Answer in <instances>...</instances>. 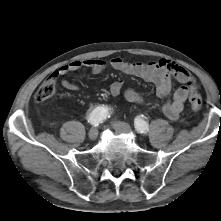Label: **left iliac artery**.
<instances>
[{"instance_id":"obj_1","label":"left iliac artery","mask_w":221,"mask_h":221,"mask_svg":"<svg viewBox=\"0 0 221 221\" xmlns=\"http://www.w3.org/2000/svg\"><path fill=\"white\" fill-rule=\"evenodd\" d=\"M134 126L138 133L146 134L149 130L148 123L144 121L141 117L135 118Z\"/></svg>"}]
</instances>
